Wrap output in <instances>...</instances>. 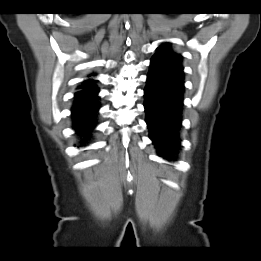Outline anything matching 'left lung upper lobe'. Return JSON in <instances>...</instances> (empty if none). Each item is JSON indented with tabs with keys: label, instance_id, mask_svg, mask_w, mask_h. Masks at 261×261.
<instances>
[{
	"label": "left lung upper lobe",
	"instance_id": "left-lung-upper-lobe-1",
	"mask_svg": "<svg viewBox=\"0 0 261 261\" xmlns=\"http://www.w3.org/2000/svg\"><path fill=\"white\" fill-rule=\"evenodd\" d=\"M168 46V43L162 44L151 60L183 69L181 64L182 56L171 51Z\"/></svg>",
	"mask_w": 261,
	"mask_h": 261
}]
</instances>
